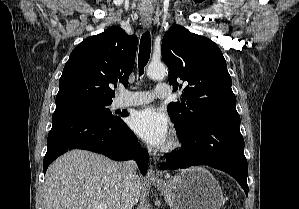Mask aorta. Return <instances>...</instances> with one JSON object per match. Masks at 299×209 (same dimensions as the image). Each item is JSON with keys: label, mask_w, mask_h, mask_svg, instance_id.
Segmentation results:
<instances>
[{"label": "aorta", "mask_w": 299, "mask_h": 209, "mask_svg": "<svg viewBox=\"0 0 299 209\" xmlns=\"http://www.w3.org/2000/svg\"><path fill=\"white\" fill-rule=\"evenodd\" d=\"M167 75V69L162 63H150L147 76L153 80H161Z\"/></svg>", "instance_id": "762f6f07"}]
</instances>
